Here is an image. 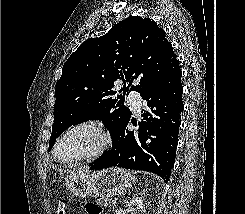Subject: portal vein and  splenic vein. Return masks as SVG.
Segmentation results:
<instances>
[{
    "label": "portal vein and splenic vein",
    "instance_id": "obj_1",
    "mask_svg": "<svg viewBox=\"0 0 245 214\" xmlns=\"http://www.w3.org/2000/svg\"><path fill=\"white\" fill-rule=\"evenodd\" d=\"M112 204H116V200H112Z\"/></svg>",
    "mask_w": 245,
    "mask_h": 214
}]
</instances>
